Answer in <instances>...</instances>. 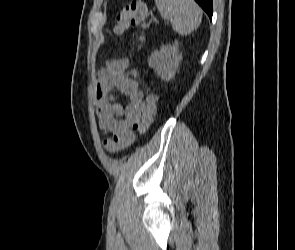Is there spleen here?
<instances>
[{
    "mask_svg": "<svg viewBox=\"0 0 295 250\" xmlns=\"http://www.w3.org/2000/svg\"><path fill=\"white\" fill-rule=\"evenodd\" d=\"M155 4L161 17L180 35L190 34L202 21V9L194 0H155Z\"/></svg>",
    "mask_w": 295,
    "mask_h": 250,
    "instance_id": "1",
    "label": "spleen"
}]
</instances>
